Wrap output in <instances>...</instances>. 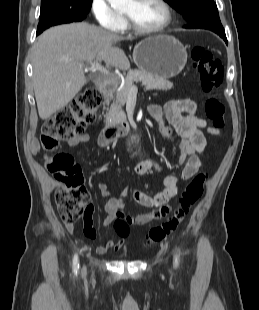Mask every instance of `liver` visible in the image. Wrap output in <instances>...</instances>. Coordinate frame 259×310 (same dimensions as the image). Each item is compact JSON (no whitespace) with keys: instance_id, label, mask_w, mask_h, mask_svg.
<instances>
[{"instance_id":"liver-1","label":"liver","mask_w":259,"mask_h":310,"mask_svg":"<svg viewBox=\"0 0 259 310\" xmlns=\"http://www.w3.org/2000/svg\"><path fill=\"white\" fill-rule=\"evenodd\" d=\"M123 37L87 23L60 25L42 33L32 49L38 113L45 120L64 108L87 83L84 62L104 61L127 70L129 60L114 44Z\"/></svg>"}]
</instances>
